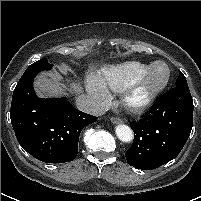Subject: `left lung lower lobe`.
I'll use <instances>...</instances> for the list:
<instances>
[{"label": "left lung lower lobe", "mask_w": 201, "mask_h": 201, "mask_svg": "<svg viewBox=\"0 0 201 201\" xmlns=\"http://www.w3.org/2000/svg\"><path fill=\"white\" fill-rule=\"evenodd\" d=\"M193 100L188 86H176L138 122L130 123L134 142L125 153L129 165L152 170L173 160L193 126Z\"/></svg>", "instance_id": "0a47b994"}]
</instances>
